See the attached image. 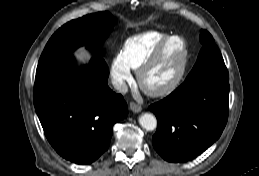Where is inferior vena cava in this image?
<instances>
[{"label":"inferior vena cava","instance_id":"602c4592","mask_svg":"<svg viewBox=\"0 0 259 176\" xmlns=\"http://www.w3.org/2000/svg\"><path fill=\"white\" fill-rule=\"evenodd\" d=\"M112 85L119 93L125 94L128 91L127 84L120 78H113Z\"/></svg>","mask_w":259,"mask_h":176}]
</instances>
